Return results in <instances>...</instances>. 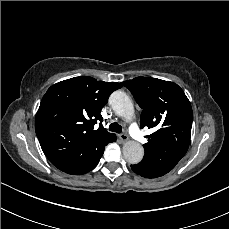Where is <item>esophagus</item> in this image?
<instances>
[{
	"mask_svg": "<svg viewBox=\"0 0 229 229\" xmlns=\"http://www.w3.org/2000/svg\"><path fill=\"white\" fill-rule=\"evenodd\" d=\"M119 139L122 143H125L126 141H128L129 137L126 134H120Z\"/></svg>",
	"mask_w": 229,
	"mask_h": 229,
	"instance_id": "1",
	"label": "esophagus"
}]
</instances>
